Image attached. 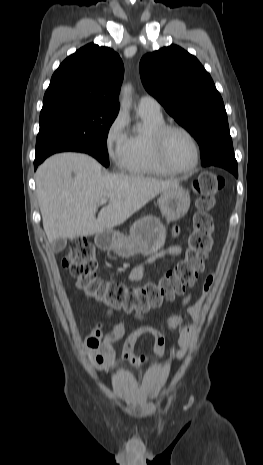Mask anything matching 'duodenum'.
Listing matches in <instances>:
<instances>
[{"label":"duodenum","instance_id":"duodenum-1","mask_svg":"<svg viewBox=\"0 0 263 465\" xmlns=\"http://www.w3.org/2000/svg\"><path fill=\"white\" fill-rule=\"evenodd\" d=\"M99 245H100L101 247H105V246H106V241H105L104 239H101V240L99 241Z\"/></svg>","mask_w":263,"mask_h":465}]
</instances>
